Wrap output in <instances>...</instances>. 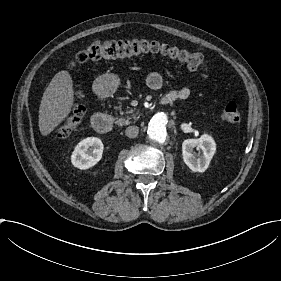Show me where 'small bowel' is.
Wrapping results in <instances>:
<instances>
[{"instance_id": "1", "label": "small bowel", "mask_w": 281, "mask_h": 281, "mask_svg": "<svg viewBox=\"0 0 281 281\" xmlns=\"http://www.w3.org/2000/svg\"><path fill=\"white\" fill-rule=\"evenodd\" d=\"M163 79L162 77L156 73L151 72L147 77V85L153 91H158L163 87ZM191 94V87L187 84H183L177 89H175L172 93L167 94L165 96V102H171L174 99L183 101L186 100Z\"/></svg>"}]
</instances>
